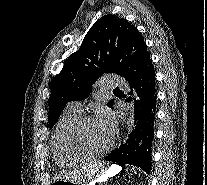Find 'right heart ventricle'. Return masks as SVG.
<instances>
[{
    "instance_id": "1",
    "label": "right heart ventricle",
    "mask_w": 207,
    "mask_h": 185,
    "mask_svg": "<svg viewBox=\"0 0 207 185\" xmlns=\"http://www.w3.org/2000/svg\"><path fill=\"white\" fill-rule=\"evenodd\" d=\"M78 120V113L66 112L58 121L53 133L52 147L54 156L61 165H77L92 158L76 149L72 143V129Z\"/></svg>"
}]
</instances>
